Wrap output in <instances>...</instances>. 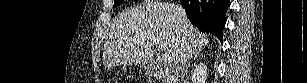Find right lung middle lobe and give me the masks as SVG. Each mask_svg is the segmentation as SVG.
I'll list each match as a JSON object with an SVG mask.
<instances>
[{"label":"right lung middle lobe","instance_id":"obj_1","mask_svg":"<svg viewBox=\"0 0 307 83\" xmlns=\"http://www.w3.org/2000/svg\"><path fill=\"white\" fill-rule=\"evenodd\" d=\"M123 0H116L115 1V7H117L118 5H120V3L122 2Z\"/></svg>","mask_w":307,"mask_h":83}]
</instances>
